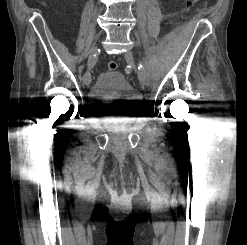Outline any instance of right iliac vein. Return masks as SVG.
Wrapping results in <instances>:
<instances>
[{
    "label": "right iliac vein",
    "mask_w": 247,
    "mask_h": 245,
    "mask_svg": "<svg viewBox=\"0 0 247 245\" xmlns=\"http://www.w3.org/2000/svg\"><path fill=\"white\" fill-rule=\"evenodd\" d=\"M98 52V47L97 45H95L92 50H91V53L89 55V58H88V68L91 69L94 64H96L97 62V57H94V55ZM83 82L84 84L86 85H89L91 83V74L89 71H87L84 76H83Z\"/></svg>",
    "instance_id": "right-iliac-vein-1"
}]
</instances>
